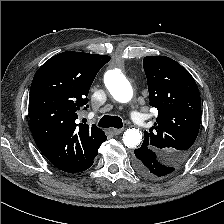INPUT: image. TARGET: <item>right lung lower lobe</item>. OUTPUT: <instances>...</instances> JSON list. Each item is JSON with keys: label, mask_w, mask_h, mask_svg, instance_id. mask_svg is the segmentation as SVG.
Here are the masks:
<instances>
[{"label": "right lung lower lobe", "mask_w": 224, "mask_h": 224, "mask_svg": "<svg viewBox=\"0 0 224 224\" xmlns=\"http://www.w3.org/2000/svg\"><path fill=\"white\" fill-rule=\"evenodd\" d=\"M94 160L91 162V164L87 167V169L93 164Z\"/></svg>", "instance_id": "1"}]
</instances>
